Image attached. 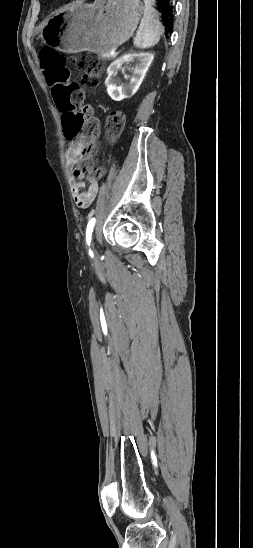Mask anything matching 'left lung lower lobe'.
<instances>
[{
  "mask_svg": "<svg viewBox=\"0 0 253 548\" xmlns=\"http://www.w3.org/2000/svg\"><path fill=\"white\" fill-rule=\"evenodd\" d=\"M160 6L161 11L164 14L165 17V25L167 27L168 31H172V25H173V5L174 0H156Z\"/></svg>",
  "mask_w": 253,
  "mask_h": 548,
  "instance_id": "obj_1",
  "label": "left lung lower lobe"
}]
</instances>
